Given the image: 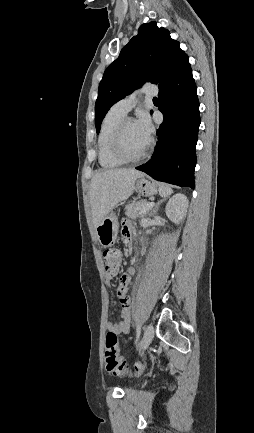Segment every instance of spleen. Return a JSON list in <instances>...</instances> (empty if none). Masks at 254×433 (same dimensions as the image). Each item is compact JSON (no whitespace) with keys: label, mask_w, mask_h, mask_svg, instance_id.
<instances>
[{"label":"spleen","mask_w":254,"mask_h":433,"mask_svg":"<svg viewBox=\"0 0 254 433\" xmlns=\"http://www.w3.org/2000/svg\"><path fill=\"white\" fill-rule=\"evenodd\" d=\"M172 192L173 191H172V189H171L170 186L165 185V184H160L159 185V194L161 196H164V197L169 196Z\"/></svg>","instance_id":"spleen-1"}]
</instances>
